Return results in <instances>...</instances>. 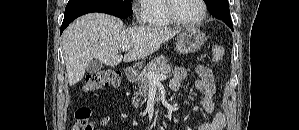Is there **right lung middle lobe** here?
Wrapping results in <instances>:
<instances>
[{
	"label": "right lung middle lobe",
	"mask_w": 299,
	"mask_h": 130,
	"mask_svg": "<svg viewBox=\"0 0 299 130\" xmlns=\"http://www.w3.org/2000/svg\"><path fill=\"white\" fill-rule=\"evenodd\" d=\"M91 4L119 10L127 15H132L131 0H69L67 5Z\"/></svg>",
	"instance_id": "1"
}]
</instances>
